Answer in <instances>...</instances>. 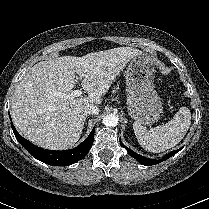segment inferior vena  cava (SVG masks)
<instances>
[{
	"label": "inferior vena cava",
	"instance_id": "inferior-vena-cava-1",
	"mask_svg": "<svg viewBox=\"0 0 209 209\" xmlns=\"http://www.w3.org/2000/svg\"><path fill=\"white\" fill-rule=\"evenodd\" d=\"M83 113L84 115H90V114H98L99 108L97 105L94 104H87L83 107Z\"/></svg>",
	"mask_w": 209,
	"mask_h": 209
}]
</instances>
